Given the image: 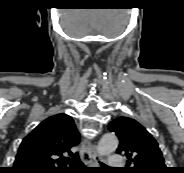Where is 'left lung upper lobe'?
I'll return each mask as SVG.
<instances>
[{
  "label": "left lung upper lobe",
  "instance_id": "5c2ea615",
  "mask_svg": "<svg viewBox=\"0 0 184 173\" xmlns=\"http://www.w3.org/2000/svg\"><path fill=\"white\" fill-rule=\"evenodd\" d=\"M108 129L115 132L120 140L117 152L128 159L127 167L122 172H168L158 143L137 121L128 117H119L110 122Z\"/></svg>",
  "mask_w": 184,
  "mask_h": 173
}]
</instances>
